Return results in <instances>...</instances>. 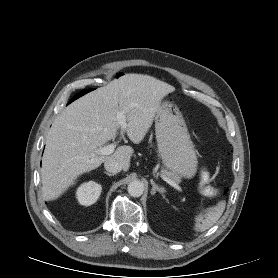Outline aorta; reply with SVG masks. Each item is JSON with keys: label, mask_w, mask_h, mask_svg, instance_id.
<instances>
[{"label": "aorta", "mask_w": 278, "mask_h": 278, "mask_svg": "<svg viewBox=\"0 0 278 278\" xmlns=\"http://www.w3.org/2000/svg\"><path fill=\"white\" fill-rule=\"evenodd\" d=\"M128 193L132 197H140L144 191V185L139 180H134L128 184Z\"/></svg>", "instance_id": "1"}]
</instances>
